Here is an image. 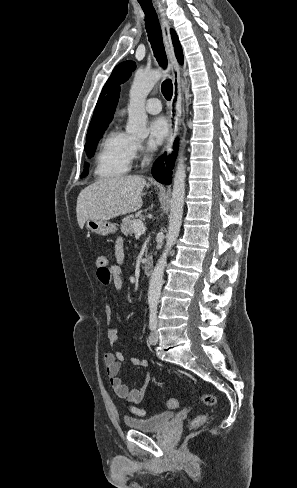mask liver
<instances>
[{
    "mask_svg": "<svg viewBox=\"0 0 297 488\" xmlns=\"http://www.w3.org/2000/svg\"><path fill=\"white\" fill-rule=\"evenodd\" d=\"M145 184L143 177L130 175L100 179L87 186L77 199L79 227L89 219L107 221L139 210Z\"/></svg>",
    "mask_w": 297,
    "mask_h": 488,
    "instance_id": "6515ba94",
    "label": "liver"
}]
</instances>
